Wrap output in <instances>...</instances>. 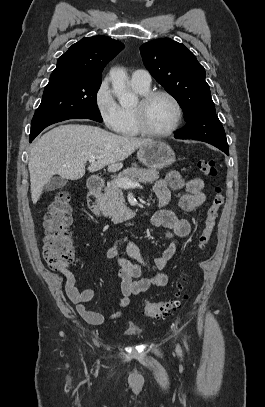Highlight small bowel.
<instances>
[{"instance_id": "small-bowel-1", "label": "small bowel", "mask_w": 265, "mask_h": 407, "mask_svg": "<svg viewBox=\"0 0 265 407\" xmlns=\"http://www.w3.org/2000/svg\"><path fill=\"white\" fill-rule=\"evenodd\" d=\"M204 181L195 177L185 179L179 172L170 171L163 179L155 183L154 191L157 196L159 207L152 216V224L160 230L163 236L169 241L167 248L153 260L156 272L152 275H144L143 269L148 262L141 256L138 247L131 241H126L127 254L136 260L130 262L122 256L119 244L111 247L107 251V257L114 260L117 265V276L121 280L122 298L118 302V311L111 314L108 319H118L122 312L130 304L133 295L140 294L150 287L161 288L167 285L168 276L163 271L173 256L176 254L180 239L191 233V223L183 218L177 217L170 210L165 208L171 197L172 190H184L185 193L180 199V208L185 212H192L205 202L203 192ZM64 278V290L68 299L76 306L79 315L91 325H101L106 318L94 311L86 309L85 303L94 296V290L86 288L80 290L76 285L74 275L67 269H59Z\"/></svg>"}]
</instances>
